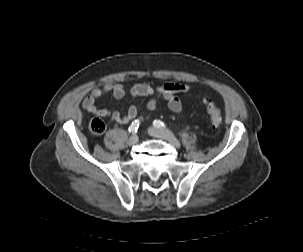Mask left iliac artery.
Returning a JSON list of instances; mask_svg holds the SVG:
<instances>
[{
	"label": "left iliac artery",
	"instance_id": "obj_1",
	"mask_svg": "<svg viewBox=\"0 0 303 252\" xmlns=\"http://www.w3.org/2000/svg\"><path fill=\"white\" fill-rule=\"evenodd\" d=\"M153 125L156 127V128H161V127H164V123L161 121V120H154L153 122Z\"/></svg>",
	"mask_w": 303,
	"mask_h": 252
}]
</instances>
